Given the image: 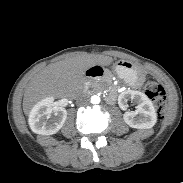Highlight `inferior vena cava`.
I'll use <instances>...</instances> for the list:
<instances>
[{
    "instance_id": "obj_1",
    "label": "inferior vena cava",
    "mask_w": 183,
    "mask_h": 183,
    "mask_svg": "<svg viewBox=\"0 0 183 183\" xmlns=\"http://www.w3.org/2000/svg\"><path fill=\"white\" fill-rule=\"evenodd\" d=\"M76 104L79 106H86L89 104V99L87 96H80L79 98H77Z\"/></svg>"
}]
</instances>
